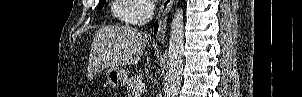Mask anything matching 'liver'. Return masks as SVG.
<instances>
[{
	"label": "liver",
	"instance_id": "liver-1",
	"mask_svg": "<svg viewBox=\"0 0 302 97\" xmlns=\"http://www.w3.org/2000/svg\"><path fill=\"white\" fill-rule=\"evenodd\" d=\"M149 37L148 34L130 26L99 29L91 46L90 74L101 67L137 64Z\"/></svg>",
	"mask_w": 302,
	"mask_h": 97
}]
</instances>
